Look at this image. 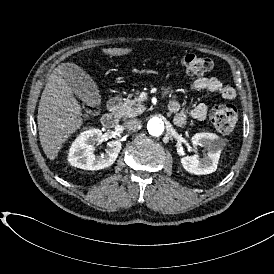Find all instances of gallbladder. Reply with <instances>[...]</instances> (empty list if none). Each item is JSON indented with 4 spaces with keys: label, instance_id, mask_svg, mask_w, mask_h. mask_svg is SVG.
Segmentation results:
<instances>
[{
    "label": "gallbladder",
    "instance_id": "1",
    "mask_svg": "<svg viewBox=\"0 0 274 274\" xmlns=\"http://www.w3.org/2000/svg\"><path fill=\"white\" fill-rule=\"evenodd\" d=\"M63 76L74 95L86 102L93 101L100 93L93 78L83 70L79 71L74 65L67 66L63 71Z\"/></svg>",
    "mask_w": 274,
    "mask_h": 274
}]
</instances>
